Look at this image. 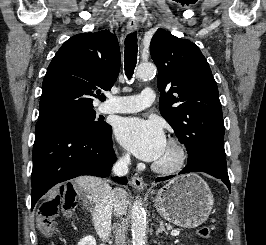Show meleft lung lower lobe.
I'll return each instance as SVG.
<instances>
[{
    "label": "left lung lower lobe",
    "instance_id": "left-lung-lower-lobe-1",
    "mask_svg": "<svg viewBox=\"0 0 266 245\" xmlns=\"http://www.w3.org/2000/svg\"><path fill=\"white\" fill-rule=\"evenodd\" d=\"M190 172H205L216 178L221 179L228 189L230 190V181L227 173L226 161L221 159L219 156L213 154H207L196 160L188 163L186 167L178 174H185ZM172 176L160 177L156 181H164L172 178Z\"/></svg>",
    "mask_w": 266,
    "mask_h": 245
}]
</instances>
